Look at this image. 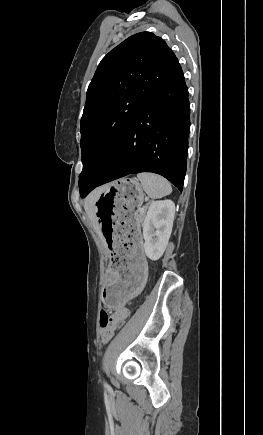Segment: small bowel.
<instances>
[{
	"instance_id": "1",
	"label": "small bowel",
	"mask_w": 263,
	"mask_h": 435,
	"mask_svg": "<svg viewBox=\"0 0 263 435\" xmlns=\"http://www.w3.org/2000/svg\"><path fill=\"white\" fill-rule=\"evenodd\" d=\"M105 296V295H104ZM129 316V310L125 307V305H120L119 309L116 310L114 314V321H105L104 328L105 330H115L116 322L123 321Z\"/></svg>"
}]
</instances>
